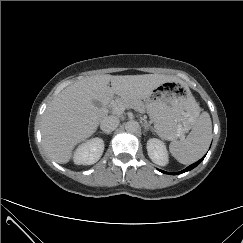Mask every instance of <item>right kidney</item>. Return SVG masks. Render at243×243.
<instances>
[{
  "instance_id": "right-kidney-1",
  "label": "right kidney",
  "mask_w": 243,
  "mask_h": 243,
  "mask_svg": "<svg viewBox=\"0 0 243 243\" xmlns=\"http://www.w3.org/2000/svg\"><path fill=\"white\" fill-rule=\"evenodd\" d=\"M104 141L101 138H93L81 144L75 151L73 160L78 165H92L102 156Z\"/></svg>"
}]
</instances>
